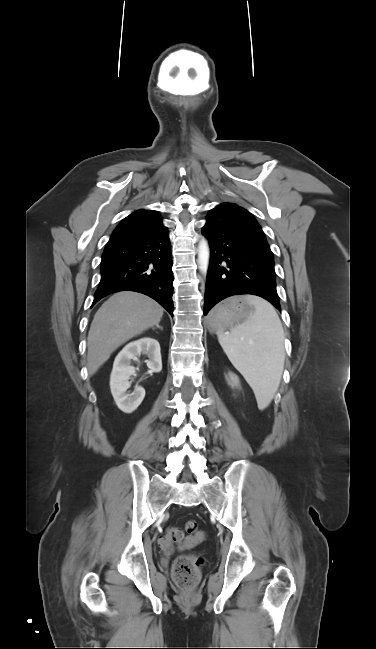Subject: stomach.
Wrapping results in <instances>:
<instances>
[{"label": "stomach", "mask_w": 376, "mask_h": 649, "mask_svg": "<svg viewBox=\"0 0 376 649\" xmlns=\"http://www.w3.org/2000/svg\"><path fill=\"white\" fill-rule=\"evenodd\" d=\"M251 314H253V306L244 299V296L231 297L217 305L211 312L209 327L211 331H223L243 323Z\"/></svg>", "instance_id": "obj_1"}]
</instances>
